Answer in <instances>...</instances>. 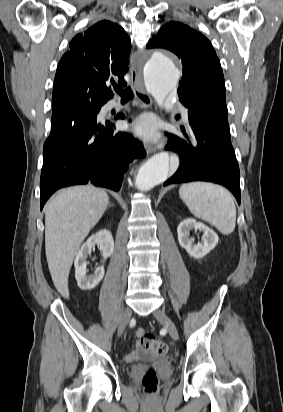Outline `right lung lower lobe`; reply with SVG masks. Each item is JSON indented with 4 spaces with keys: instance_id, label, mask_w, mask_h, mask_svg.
I'll return each mask as SVG.
<instances>
[{
    "instance_id": "1",
    "label": "right lung lower lobe",
    "mask_w": 283,
    "mask_h": 412,
    "mask_svg": "<svg viewBox=\"0 0 283 412\" xmlns=\"http://www.w3.org/2000/svg\"><path fill=\"white\" fill-rule=\"evenodd\" d=\"M97 114L87 111L72 121L51 124L43 147L41 210L48 198L65 186L89 182L118 191L129 163L146 155L131 134L99 122Z\"/></svg>"
}]
</instances>
